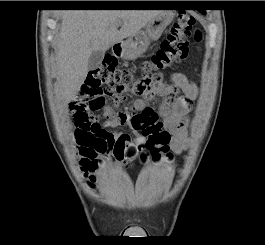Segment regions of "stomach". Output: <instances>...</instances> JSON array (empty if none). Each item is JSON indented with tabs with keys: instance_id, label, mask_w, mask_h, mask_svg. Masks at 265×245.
I'll return each instance as SVG.
<instances>
[{
	"instance_id": "1",
	"label": "stomach",
	"mask_w": 265,
	"mask_h": 245,
	"mask_svg": "<svg viewBox=\"0 0 265 245\" xmlns=\"http://www.w3.org/2000/svg\"><path fill=\"white\" fill-rule=\"evenodd\" d=\"M174 13L171 11H161L160 14L152 18L144 27L126 41L121 42L120 56L126 60H133L148 49L150 42L158 40L165 28L172 22Z\"/></svg>"
}]
</instances>
